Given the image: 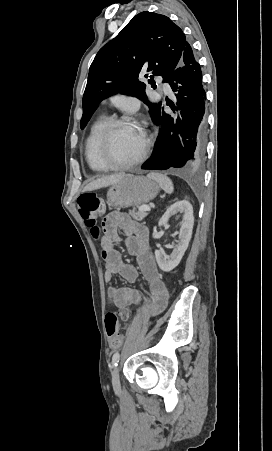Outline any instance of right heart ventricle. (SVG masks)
Masks as SVG:
<instances>
[{
    "mask_svg": "<svg viewBox=\"0 0 272 451\" xmlns=\"http://www.w3.org/2000/svg\"><path fill=\"white\" fill-rule=\"evenodd\" d=\"M107 119L105 117H102L99 119L92 127L90 135L87 140V146H86V158L87 163L90 168V170L93 173L99 174L103 172L99 157H98V151H97V145H98V138L100 135V132L105 124Z\"/></svg>",
    "mask_w": 272,
    "mask_h": 451,
    "instance_id": "1",
    "label": "right heart ventricle"
}]
</instances>
